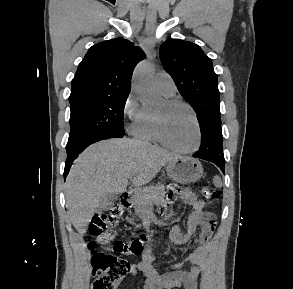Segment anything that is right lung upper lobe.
<instances>
[{"label": "right lung upper lobe", "instance_id": "right-lung-upper-lobe-1", "mask_svg": "<svg viewBox=\"0 0 293 289\" xmlns=\"http://www.w3.org/2000/svg\"><path fill=\"white\" fill-rule=\"evenodd\" d=\"M143 58V51L123 38L92 46L72 80L69 101L128 95L133 70Z\"/></svg>", "mask_w": 293, "mask_h": 289}]
</instances>
